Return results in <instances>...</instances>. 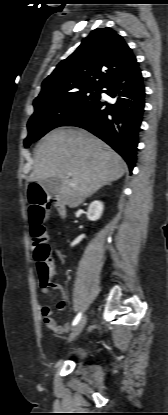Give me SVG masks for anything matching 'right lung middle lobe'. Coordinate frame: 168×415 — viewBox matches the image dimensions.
I'll return each instance as SVG.
<instances>
[{"label": "right lung middle lobe", "instance_id": "right-lung-middle-lobe-1", "mask_svg": "<svg viewBox=\"0 0 168 415\" xmlns=\"http://www.w3.org/2000/svg\"><path fill=\"white\" fill-rule=\"evenodd\" d=\"M100 93V88L84 89L35 105L27 125L25 147L86 111L99 100Z\"/></svg>", "mask_w": 168, "mask_h": 415}]
</instances>
